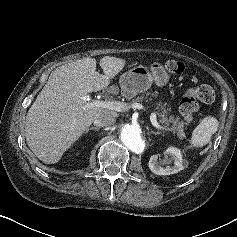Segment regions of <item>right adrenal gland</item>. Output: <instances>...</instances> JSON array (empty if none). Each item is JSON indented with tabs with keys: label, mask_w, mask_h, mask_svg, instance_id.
<instances>
[{
	"label": "right adrenal gland",
	"mask_w": 237,
	"mask_h": 237,
	"mask_svg": "<svg viewBox=\"0 0 237 237\" xmlns=\"http://www.w3.org/2000/svg\"><path fill=\"white\" fill-rule=\"evenodd\" d=\"M90 130L99 131L100 128H98V127H90V128H88V129L86 130L85 133H88Z\"/></svg>",
	"instance_id": "right-adrenal-gland-1"
}]
</instances>
